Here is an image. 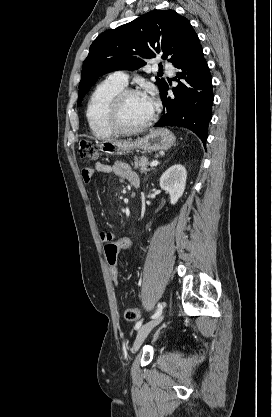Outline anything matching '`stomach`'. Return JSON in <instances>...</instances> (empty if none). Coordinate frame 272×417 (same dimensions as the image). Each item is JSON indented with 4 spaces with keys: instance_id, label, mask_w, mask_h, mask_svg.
<instances>
[{
    "instance_id": "stomach-1",
    "label": "stomach",
    "mask_w": 272,
    "mask_h": 417,
    "mask_svg": "<svg viewBox=\"0 0 272 417\" xmlns=\"http://www.w3.org/2000/svg\"><path fill=\"white\" fill-rule=\"evenodd\" d=\"M175 136L165 128L150 130L146 135L134 141H113L108 140L100 144L101 151L107 155H121L133 149L144 151L168 150L175 143Z\"/></svg>"
}]
</instances>
